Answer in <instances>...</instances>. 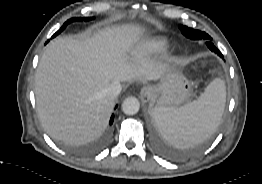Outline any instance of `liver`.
Segmentation results:
<instances>
[{
    "instance_id": "6515ba94",
    "label": "liver",
    "mask_w": 262,
    "mask_h": 184,
    "mask_svg": "<svg viewBox=\"0 0 262 184\" xmlns=\"http://www.w3.org/2000/svg\"><path fill=\"white\" fill-rule=\"evenodd\" d=\"M142 33L141 27L124 24L81 40L50 42L37 68L35 95L39 119L52 139L71 145L93 141L106 129L115 105L105 91L110 84L156 81L167 74L165 65L133 49Z\"/></svg>"
}]
</instances>
